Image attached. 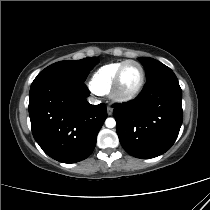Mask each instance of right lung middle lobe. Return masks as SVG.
I'll return each instance as SVG.
<instances>
[{"instance_id": "obj_1", "label": "right lung middle lobe", "mask_w": 210, "mask_h": 210, "mask_svg": "<svg viewBox=\"0 0 210 210\" xmlns=\"http://www.w3.org/2000/svg\"><path fill=\"white\" fill-rule=\"evenodd\" d=\"M99 62L97 58L89 57L77 61L56 62L42 70L35 79L63 77L84 82L89 71Z\"/></svg>"}]
</instances>
